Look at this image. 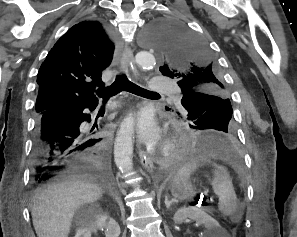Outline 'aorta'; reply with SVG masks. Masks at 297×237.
<instances>
[{
    "label": "aorta",
    "mask_w": 297,
    "mask_h": 237,
    "mask_svg": "<svg viewBox=\"0 0 297 237\" xmlns=\"http://www.w3.org/2000/svg\"><path fill=\"white\" fill-rule=\"evenodd\" d=\"M149 44L154 45L150 39ZM135 62L142 69H152L156 65L155 57L147 51L139 52ZM133 133L134 117L130 114L122 121L114 144L115 163L123 174L130 173L133 168Z\"/></svg>",
    "instance_id": "1"
}]
</instances>
